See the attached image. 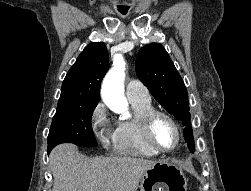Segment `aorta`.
<instances>
[{"label": "aorta", "instance_id": "aorta-1", "mask_svg": "<svg viewBox=\"0 0 251 191\" xmlns=\"http://www.w3.org/2000/svg\"><path fill=\"white\" fill-rule=\"evenodd\" d=\"M125 62L122 56H114L113 68L106 74L102 86L101 97L114 113H121L122 119L129 117L128 101L124 96Z\"/></svg>", "mask_w": 251, "mask_h": 191}]
</instances>
